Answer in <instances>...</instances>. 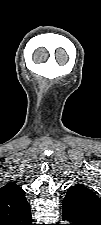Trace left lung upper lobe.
I'll return each mask as SVG.
<instances>
[{"instance_id": "5c2ea615", "label": "left lung upper lobe", "mask_w": 101, "mask_h": 225, "mask_svg": "<svg viewBox=\"0 0 101 225\" xmlns=\"http://www.w3.org/2000/svg\"><path fill=\"white\" fill-rule=\"evenodd\" d=\"M63 211L101 221V200L83 185H74L67 191Z\"/></svg>"}]
</instances>
